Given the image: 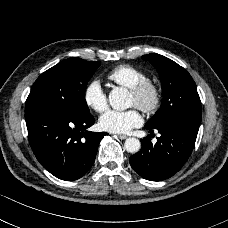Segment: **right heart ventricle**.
Here are the masks:
<instances>
[{
  "instance_id": "1",
  "label": "right heart ventricle",
  "mask_w": 228,
  "mask_h": 228,
  "mask_svg": "<svg viewBox=\"0 0 228 228\" xmlns=\"http://www.w3.org/2000/svg\"><path fill=\"white\" fill-rule=\"evenodd\" d=\"M107 78L121 87L131 89L148 77L140 69L131 65L123 64L110 70L107 74Z\"/></svg>"
}]
</instances>
